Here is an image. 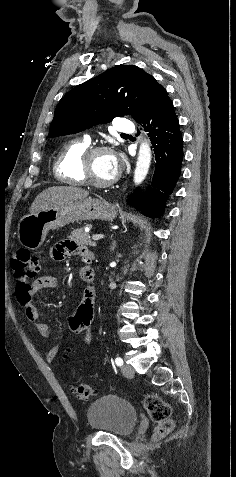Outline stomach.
I'll use <instances>...</instances> for the list:
<instances>
[{"label":"stomach","instance_id":"stomach-1","mask_svg":"<svg viewBox=\"0 0 236 477\" xmlns=\"http://www.w3.org/2000/svg\"><path fill=\"white\" fill-rule=\"evenodd\" d=\"M117 207L104 199L84 198L51 206L35 214L23 216L18 223V239L22 246L37 250L45 241L48 231L74 221L100 219L112 221Z\"/></svg>","mask_w":236,"mask_h":477}]
</instances>
